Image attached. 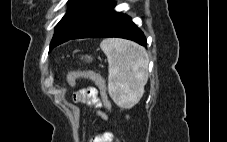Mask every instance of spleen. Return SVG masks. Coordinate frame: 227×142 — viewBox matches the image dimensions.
<instances>
[{
  "label": "spleen",
  "instance_id": "spleen-1",
  "mask_svg": "<svg viewBox=\"0 0 227 142\" xmlns=\"http://www.w3.org/2000/svg\"><path fill=\"white\" fill-rule=\"evenodd\" d=\"M100 47L108 59V92L121 108L139 102L148 81V55L138 44L123 39H105Z\"/></svg>",
  "mask_w": 227,
  "mask_h": 142
}]
</instances>
